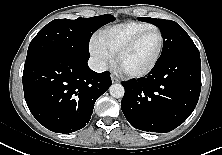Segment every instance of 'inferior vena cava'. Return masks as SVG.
<instances>
[{
    "label": "inferior vena cava",
    "mask_w": 222,
    "mask_h": 155,
    "mask_svg": "<svg viewBox=\"0 0 222 155\" xmlns=\"http://www.w3.org/2000/svg\"><path fill=\"white\" fill-rule=\"evenodd\" d=\"M88 65L90 69H92L95 72H104L106 70L105 62L96 57H90L88 60Z\"/></svg>",
    "instance_id": "obj_1"
}]
</instances>
